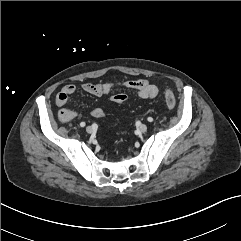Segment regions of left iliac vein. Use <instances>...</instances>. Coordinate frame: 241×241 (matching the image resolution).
Instances as JSON below:
<instances>
[{
	"mask_svg": "<svg viewBox=\"0 0 241 241\" xmlns=\"http://www.w3.org/2000/svg\"><path fill=\"white\" fill-rule=\"evenodd\" d=\"M139 130H140L141 132H146V131H147V125H146V124H141V125L139 126Z\"/></svg>",
	"mask_w": 241,
	"mask_h": 241,
	"instance_id": "1",
	"label": "left iliac vein"
}]
</instances>
